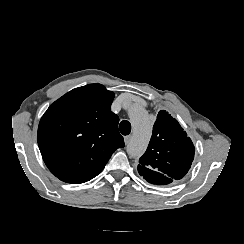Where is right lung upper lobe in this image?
<instances>
[{
    "instance_id": "1",
    "label": "right lung upper lobe",
    "mask_w": 244,
    "mask_h": 244,
    "mask_svg": "<svg viewBox=\"0 0 244 244\" xmlns=\"http://www.w3.org/2000/svg\"><path fill=\"white\" fill-rule=\"evenodd\" d=\"M115 94L101 84L71 90L42 116L38 145L49 170L68 183L97 176L113 152L125 146L119 117L110 110Z\"/></svg>"
}]
</instances>
